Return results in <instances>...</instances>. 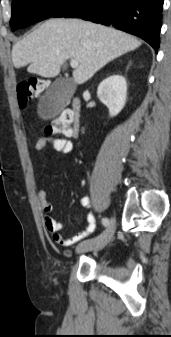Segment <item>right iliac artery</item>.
<instances>
[{"label":"right iliac artery","instance_id":"82829eb1","mask_svg":"<svg viewBox=\"0 0 171 337\" xmlns=\"http://www.w3.org/2000/svg\"><path fill=\"white\" fill-rule=\"evenodd\" d=\"M102 224L105 226V227H107L108 225H109V219L108 218H103L102 219Z\"/></svg>","mask_w":171,"mask_h":337}]
</instances>
